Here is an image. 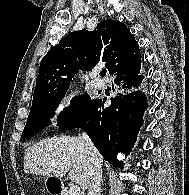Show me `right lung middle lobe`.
<instances>
[{"label": "right lung middle lobe", "instance_id": "right-lung-middle-lobe-1", "mask_svg": "<svg viewBox=\"0 0 189 195\" xmlns=\"http://www.w3.org/2000/svg\"><path fill=\"white\" fill-rule=\"evenodd\" d=\"M66 91L67 89L32 103L27 123L21 136L22 139L32 137L34 134L42 131L46 126L51 124L50 118L54 116V112L59 103L63 100ZM90 100L91 98L85 94L74 97L71 100L69 107L64 108L58 115V126L74 116Z\"/></svg>", "mask_w": 189, "mask_h": 195}]
</instances>
